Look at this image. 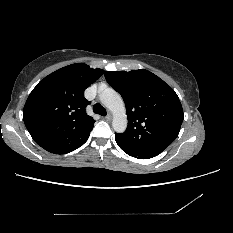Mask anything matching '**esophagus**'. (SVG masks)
Instances as JSON below:
<instances>
[{
  "label": "esophagus",
  "instance_id": "esophagus-1",
  "mask_svg": "<svg viewBox=\"0 0 233 233\" xmlns=\"http://www.w3.org/2000/svg\"><path fill=\"white\" fill-rule=\"evenodd\" d=\"M105 119L108 120V121L111 120V119H112V114L109 113V114L105 117Z\"/></svg>",
  "mask_w": 233,
  "mask_h": 233
}]
</instances>
